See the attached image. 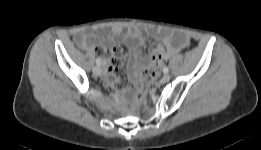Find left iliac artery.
Masks as SVG:
<instances>
[{"mask_svg": "<svg viewBox=\"0 0 261 150\" xmlns=\"http://www.w3.org/2000/svg\"><path fill=\"white\" fill-rule=\"evenodd\" d=\"M163 72L166 74V73L169 72V69H168L167 67H164V68H163Z\"/></svg>", "mask_w": 261, "mask_h": 150, "instance_id": "left-iliac-artery-1", "label": "left iliac artery"}]
</instances>
